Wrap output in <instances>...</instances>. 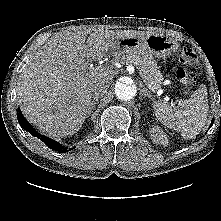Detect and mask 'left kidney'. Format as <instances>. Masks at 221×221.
<instances>
[{
    "label": "left kidney",
    "mask_w": 221,
    "mask_h": 221,
    "mask_svg": "<svg viewBox=\"0 0 221 221\" xmlns=\"http://www.w3.org/2000/svg\"><path fill=\"white\" fill-rule=\"evenodd\" d=\"M151 139L156 144H161L163 146L168 145V137L167 135L159 128V127H153L150 130Z\"/></svg>",
    "instance_id": "obj_1"
}]
</instances>
